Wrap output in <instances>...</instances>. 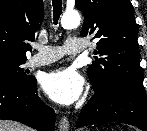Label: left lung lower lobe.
Masks as SVG:
<instances>
[{
    "label": "left lung lower lobe",
    "mask_w": 147,
    "mask_h": 131,
    "mask_svg": "<svg viewBox=\"0 0 147 131\" xmlns=\"http://www.w3.org/2000/svg\"><path fill=\"white\" fill-rule=\"evenodd\" d=\"M119 122L147 131V96L145 91L119 87L108 93L95 91L94 96L79 114L76 127Z\"/></svg>",
    "instance_id": "0a47b994"
}]
</instances>
